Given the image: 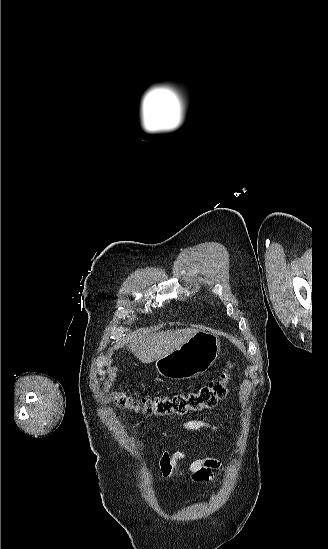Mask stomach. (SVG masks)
Returning a JSON list of instances; mask_svg holds the SVG:
<instances>
[{
    "mask_svg": "<svg viewBox=\"0 0 328 549\" xmlns=\"http://www.w3.org/2000/svg\"><path fill=\"white\" fill-rule=\"evenodd\" d=\"M220 353V339L211 329H199L179 349L157 359L155 367L165 379L184 381L206 373Z\"/></svg>",
    "mask_w": 328,
    "mask_h": 549,
    "instance_id": "1",
    "label": "stomach"
}]
</instances>
